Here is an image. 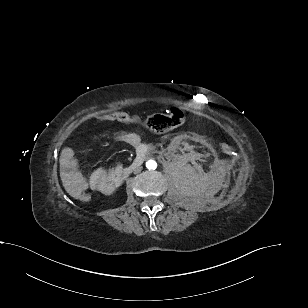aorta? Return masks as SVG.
<instances>
[{"instance_id": "aorta-1", "label": "aorta", "mask_w": 308, "mask_h": 308, "mask_svg": "<svg viewBox=\"0 0 308 308\" xmlns=\"http://www.w3.org/2000/svg\"><path fill=\"white\" fill-rule=\"evenodd\" d=\"M146 167L149 169V170H154L156 169L157 167V163L154 161V160H148L146 162Z\"/></svg>"}]
</instances>
